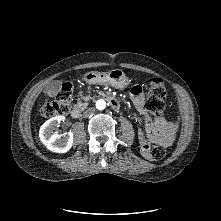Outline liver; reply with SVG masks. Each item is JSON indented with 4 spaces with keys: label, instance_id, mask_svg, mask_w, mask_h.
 Instances as JSON below:
<instances>
[{
    "label": "liver",
    "instance_id": "obj_1",
    "mask_svg": "<svg viewBox=\"0 0 221 221\" xmlns=\"http://www.w3.org/2000/svg\"><path fill=\"white\" fill-rule=\"evenodd\" d=\"M56 92H57V91H55V90H48V91H47V95H48L49 97H53L54 95H56Z\"/></svg>",
    "mask_w": 221,
    "mask_h": 221
}]
</instances>
